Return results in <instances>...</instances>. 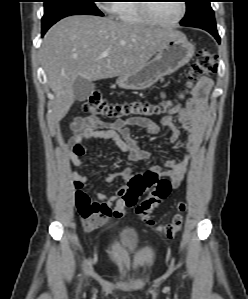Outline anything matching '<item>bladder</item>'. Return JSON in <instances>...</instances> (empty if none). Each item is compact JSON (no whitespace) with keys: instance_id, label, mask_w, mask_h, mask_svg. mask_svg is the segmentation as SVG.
Instances as JSON below:
<instances>
[{"instance_id":"bladder-1","label":"bladder","mask_w":248,"mask_h":299,"mask_svg":"<svg viewBox=\"0 0 248 299\" xmlns=\"http://www.w3.org/2000/svg\"><path fill=\"white\" fill-rule=\"evenodd\" d=\"M111 246L112 248L118 247L128 254L137 252L142 248L138 232L132 226L121 227L115 233ZM114 268L126 280H135L142 275L141 270H137L133 267H124L120 269L116 262L114 263Z\"/></svg>"}]
</instances>
